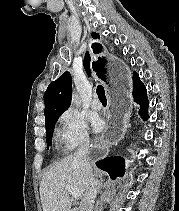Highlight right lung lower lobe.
<instances>
[{
    "mask_svg": "<svg viewBox=\"0 0 179 211\" xmlns=\"http://www.w3.org/2000/svg\"><path fill=\"white\" fill-rule=\"evenodd\" d=\"M134 101L140 105L139 114L143 120L148 118V98L144 84L136 72L133 74V93ZM98 168L109 173L112 179L124 174V160L121 157H107L96 162Z\"/></svg>",
    "mask_w": 179,
    "mask_h": 211,
    "instance_id": "right-lung-lower-lobe-1",
    "label": "right lung lower lobe"
}]
</instances>
